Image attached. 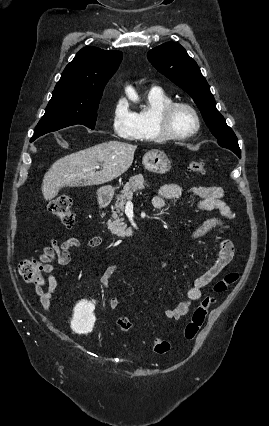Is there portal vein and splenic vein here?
I'll list each match as a JSON object with an SVG mask.
<instances>
[{"label": "portal vein and splenic vein", "mask_w": 269, "mask_h": 426, "mask_svg": "<svg viewBox=\"0 0 269 426\" xmlns=\"http://www.w3.org/2000/svg\"><path fill=\"white\" fill-rule=\"evenodd\" d=\"M96 168H97V169H99V165H98V166H96ZM131 204H132L131 200H128V201L126 202V205H131Z\"/></svg>", "instance_id": "obj_1"}]
</instances>
